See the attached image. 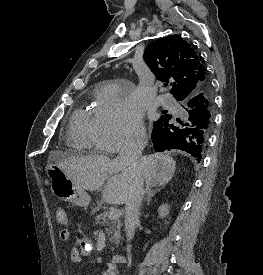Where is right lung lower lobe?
<instances>
[{
	"label": "right lung lower lobe",
	"instance_id": "right-lung-lower-lobe-1",
	"mask_svg": "<svg viewBox=\"0 0 263 275\" xmlns=\"http://www.w3.org/2000/svg\"><path fill=\"white\" fill-rule=\"evenodd\" d=\"M177 100H183L185 117L180 120L167 114L154 123V149L158 152L166 149L183 150L199 161L212 127V123L209 124L210 106L213 103L210 83H204L196 93L185 94Z\"/></svg>",
	"mask_w": 263,
	"mask_h": 275
}]
</instances>
